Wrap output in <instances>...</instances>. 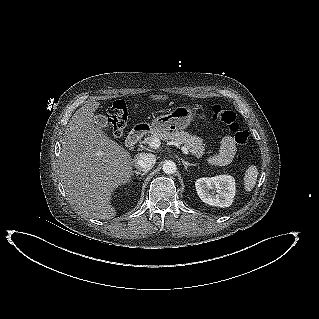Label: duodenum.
<instances>
[{
  "instance_id": "410a0bca",
  "label": "duodenum",
  "mask_w": 319,
  "mask_h": 319,
  "mask_svg": "<svg viewBox=\"0 0 319 319\" xmlns=\"http://www.w3.org/2000/svg\"><path fill=\"white\" fill-rule=\"evenodd\" d=\"M149 130L147 125L135 126L127 135L125 145L127 148L132 149L138 143L140 138Z\"/></svg>"
}]
</instances>
